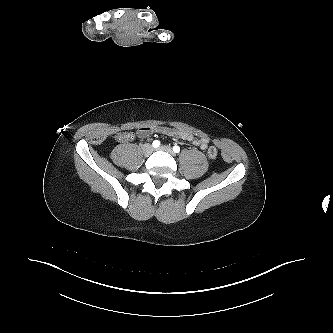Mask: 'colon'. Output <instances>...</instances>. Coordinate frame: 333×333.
Instances as JSON below:
<instances>
[{"label": "colon", "instance_id": "colon-1", "mask_svg": "<svg viewBox=\"0 0 333 333\" xmlns=\"http://www.w3.org/2000/svg\"><path fill=\"white\" fill-rule=\"evenodd\" d=\"M116 139L119 142H128L133 139V135L130 132H120L116 135ZM218 155L217 149L213 146L209 147L207 150V156L209 159H215Z\"/></svg>", "mask_w": 333, "mask_h": 333}]
</instances>
